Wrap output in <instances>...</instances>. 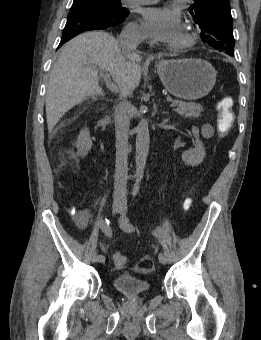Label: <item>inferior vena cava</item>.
<instances>
[{
    "label": "inferior vena cava",
    "mask_w": 261,
    "mask_h": 340,
    "mask_svg": "<svg viewBox=\"0 0 261 340\" xmlns=\"http://www.w3.org/2000/svg\"><path fill=\"white\" fill-rule=\"evenodd\" d=\"M143 37L132 29H125L118 36L120 48L125 52L137 49ZM129 91L121 89L120 103L114 111L116 136V165L114 175V198L125 199L127 195V159H128V131L130 124L131 103L128 101Z\"/></svg>",
    "instance_id": "602c4592"
}]
</instances>
